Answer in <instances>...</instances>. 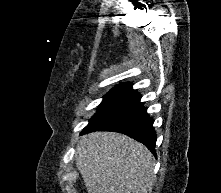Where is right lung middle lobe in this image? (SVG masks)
Wrapping results in <instances>:
<instances>
[{"instance_id": "1", "label": "right lung middle lobe", "mask_w": 221, "mask_h": 193, "mask_svg": "<svg viewBox=\"0 0 221 193\" xmlns=\"http://www.w3.org/2000/svg\"><path fill=\"white\" fill-rule=\"evenodd\" d=\"M139 96L140 94L133 90L131 86L118 85L114 87L104 97V100L98 106V112L91 118L90 123L101 120L107 115L120 110Z\"/></svg>"}]
</instances>
